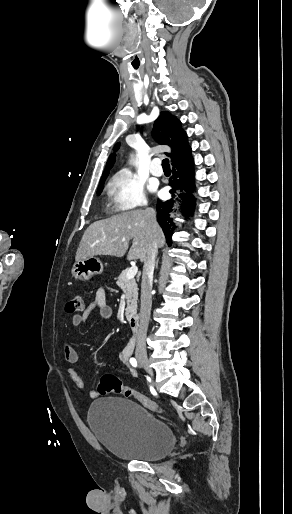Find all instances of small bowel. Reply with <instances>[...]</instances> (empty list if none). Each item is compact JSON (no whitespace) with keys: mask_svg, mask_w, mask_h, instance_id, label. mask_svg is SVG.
Masks as SVG:
<instances>
[{"mask_svg":"<svg viewBox=\"0 0 292 514\" xmlns=\"http://www.w3.org/2000/svg\"><path fill=\"white\" fill-rule=\"evenodd\" d=\"M93 312H97L100 320L106 321L110 320L113 317V308L107 303L106 293L103 288H99L96 291V294L93 300L90 302L85 311L81 314H75L71 317V325L73 327L81 326L89 317V315ZM65 362L68 364L66 372L73 382L76 389L82 391L85 389V382L82 376L77 372V370L73 367L78 361V353L75 348L69 344H66L63 349ZM129 355L130 351L128 349H124L120 354V360L124 365L128 367L129 373L131 376H136V371L130 367L129 365ZM89 397L96 398L98 397V392L95 390H90L88 392Z\"/></svg>","mask_w":292,"mask_h":514,"instance_id":"1","label":"small bowel"}]
</instances>
